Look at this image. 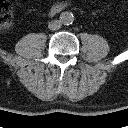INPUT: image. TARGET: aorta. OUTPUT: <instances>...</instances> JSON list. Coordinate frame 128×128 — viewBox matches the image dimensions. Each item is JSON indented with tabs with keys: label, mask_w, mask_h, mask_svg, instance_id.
<instances>
[{
	"label": "aorta",
	"mask_w": 128,
	"mask_h": 128,
	"mask_svg": "<svg viewBox=\"0 0 128 128\" xmlns=\"http://www.w3.org/2000/svg\"><path fill=\"white\" fill-rule=\"evenodd\" d=\"M60 22L63 24V25H70L74 22V15L72 12L70 11H63L61 14H60Z\"/></svg>",
	"instance_id": "aorta-1"
}]
</instances>
